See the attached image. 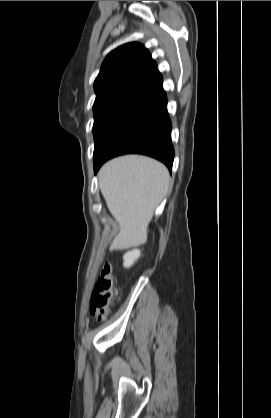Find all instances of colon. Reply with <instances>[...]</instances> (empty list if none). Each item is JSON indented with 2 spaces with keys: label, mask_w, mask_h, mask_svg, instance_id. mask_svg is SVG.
Wrapping results in <instances>:
<instances>
[{
  "label": "colon",
  "mask_w": 271,
  "mask_h": 418,
  "mask_svg": "<svg viewBox=\"0 0 271 418\" xmlns=\"http://www.w3.org/2000/svg\"><path fill=\"white\" fill-rule=\"evenodd\" d=\"M117 296L115 278L111 267L106 263L98 277L90 298V313L98 321L106 318Z\"/></svg>",
  "instance_id": "colon-1"
}]
</instances>
